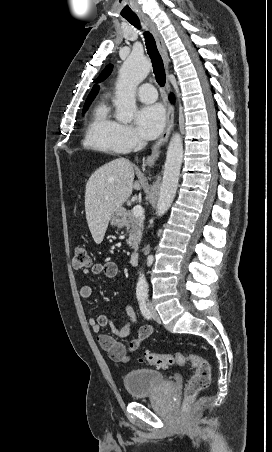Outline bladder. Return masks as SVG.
<instances>
[{"instance_id": "31cf9c89", "label": "bladder", "mask_w": 272, "mask_h": 452, "mask_svg": "<svg viewBox=\"0 0 272 452\" xmlns=\"http://www.w3.org/2000/svg\"><path fill=\"white\" fill-rule=\"evenodd\" d=\"M122 382L132 398H142L160 389L165 379L158 370L134 368L124 372Z\"/></svg>"}]
</instances>
